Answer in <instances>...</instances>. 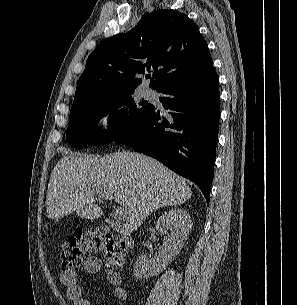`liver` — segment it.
Listing matches in <instances>:
<instances>
[{"mask_svg":"<svg viewBox=\"0 0 297 305\" xmlns=\"http://www.w3.org/2000/svg\"><path fill=\"white\" fill-rule=\"evenodd\" d=\"M109 193L124 207L126 228L137 230L156 209L177 206L191 198V188L157 160L135 152L108 156L70 153L55 165L46 195L49 219L73 211L85 219H98L103 210L96 204L99 193Z\"/></svg>","mask_w":297,"mask_h":305,"instance_id":"6515ba94","label":"liver"}]
</instances>
